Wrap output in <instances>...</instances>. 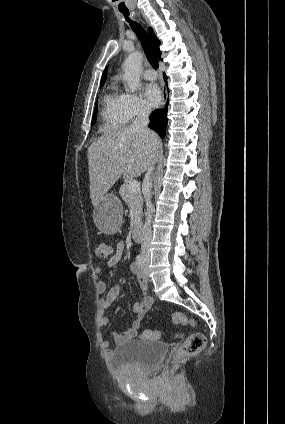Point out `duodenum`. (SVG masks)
<instances>
[{
  "mask_svg": "<svg viewBox=\"0 0 285 424\" xmlns=\"http://www.w3.org/2000/svg\"><path fill=\"white\" fill-rule=\"evenodd\" d=\"M133 240L135 242H141L143 238L142 227L140 225H136L133 231Z\"/></svg>",
  "mask_w": 285,
  "mask_h": 424,
  "instance_id": "obj_1",
  "label": "duodenum"
}]
</instances>
